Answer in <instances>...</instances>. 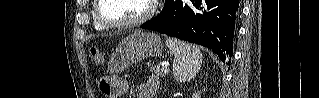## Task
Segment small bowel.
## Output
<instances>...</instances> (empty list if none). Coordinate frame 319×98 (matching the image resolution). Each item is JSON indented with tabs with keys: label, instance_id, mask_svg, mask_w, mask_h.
<instances>
[{
	"label": "small bowel",
	"instance_id": "small-bowel-1",
	"mask_svg": "<svg viewBox=\"0 0 319 98\" xmlns=\"http://www.w3.org/2000/svg\"><path fill=\"white\" fill-rule=\"evenodd\" d=\"M122 91L125 92L128 88V84L121 83ZM158 81L155 77H151L147 84H141L136 87L137 98H153V92L157 89Z\"/></svg>",
	"mask_w": 319,
	"mask_h": 98
}]
</instances>
